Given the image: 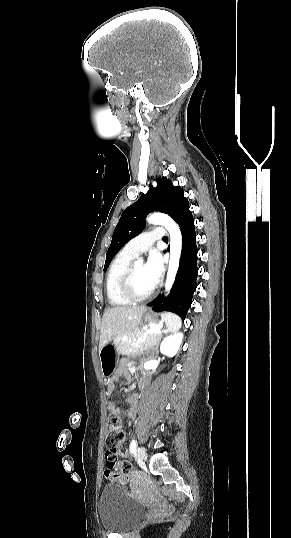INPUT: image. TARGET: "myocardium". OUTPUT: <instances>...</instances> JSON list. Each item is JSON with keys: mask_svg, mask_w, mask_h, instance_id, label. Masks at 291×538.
Listing matches in <instances>:
<instances>
[{"mask_svg": "<svg viewBox=\"0 0 291 538\" xmlns=\"http://www.w3.org/2000/svg\"><path fill=\"white\" fill-rule=\"evenodd\" d=\"M136 264H130L127 270L124 272L120 280V288L122 294L133 302H140L149 299L155 291L153 287L150 291L145 294L137 293L134 286V268Z\"/></svg>", "mask_w": 291, "mask_h": 538, "instance_id": "myocardium-1", "label": "myocardium"}]
</instances>
